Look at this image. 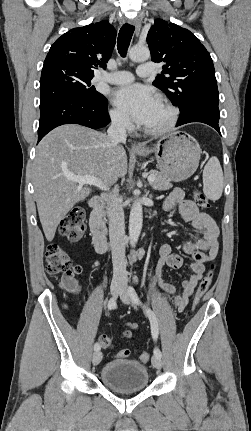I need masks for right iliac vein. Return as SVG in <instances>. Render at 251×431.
I'll use <instances>...</instances> for the list:
<instances>
[{
    "instance_id": "1",
    "label": "right iliac vein",
    "mask_w": 251,
    "mask_h": 431,
    "mask_svg": "<svg viewBox=\"0 0 251 431\" xmlns=\"http://www.w3.org/2000/svg\"><path fill=\"white\" fill-rule=\"evenodd\" d=\"M121 290V285L117 282H113L110 287V291L113 297H117ZM102 360V352L100 350L93 353L92 362L94 365H98Z\"/></svg>"
}]
</instances>
